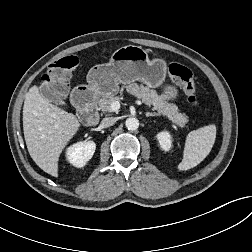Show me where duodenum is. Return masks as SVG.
<instances>
[{"mask_svg": "<svg viewBox=\"0 0 252 252\" xmlns=\"http://www.w3.org/2000/svg\"><path fill=\"white\" fill-rule=\"evenodd\" d=\"M72 101L76 105L87 103L81 111V117L88 125L99 123L100 115L96 103L92 100V91L87 87L77 89L72 94Z\"/></svg>", "mask_w": 252, "mask_h": 252, "instance_id": "1", "label": "duodenum"}]
</instances>
